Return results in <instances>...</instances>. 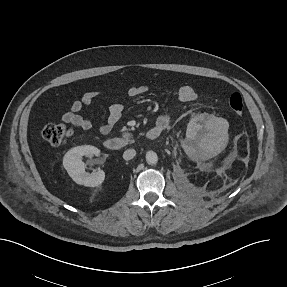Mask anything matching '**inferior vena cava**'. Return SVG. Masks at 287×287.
<instances>
[{"label": "inferior vena cava", "mask_w": 287, "mask_h": 287, "mask_svg": "<svg viewBox=\"0 0 287 287\" xmlns=\"http://www.w3.org/2000/svg\"><path fill=\"white\" fill-rule=\"evenodd\" d=\"M136 155V151L134 149H127L124 153H123V158L125 160H131L135 157Z\"/></svg>", "instance_id": "1"}]
</instances>
